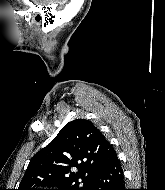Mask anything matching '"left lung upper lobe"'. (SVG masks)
Here are the masks:
<instances>
[{"label":"left lung upper lobe","mask_w":165,"mask_h":190,"mask_svg":"<svg viewBox=\"0 0 165 190\" xmlns=\"http://www.w3.org/2000/svg\"><path fill=\"white\" fill-rule=\"evenodd\" d=\"M115 156L92 122L70 121L31 159L18 190H89L96 173Z\"/></svg>","instance_id":"5c2ea615"}]
</instances>
